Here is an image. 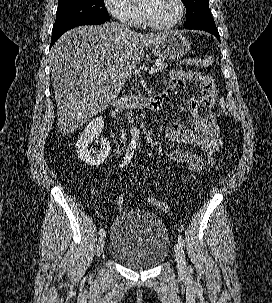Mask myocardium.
Listing matches in <instances>:
<instances>
[{
  "mask_svg": "<svg viewBox=\"0 0 272 303\" xmlns=\"http://www.w3.org/2000/svg\"><path fill=\"white\" fill-rule=\"evenodd\" d=\"M178 7H179V12L175 20H173L169 24L165 25H158L153 23L147 16L145 10L139 5V11H140V16H141V21L144 26L147 28H150L152 30H157V31H165V30H170L174 27H176L183 19L184 14H185V4L183 0H176Z\"/></svg>",
  "mask_w": 272,
  "mask_h": 303,
  "instance_id": "1",
  "label": "myocardium"
}]
</instances>
